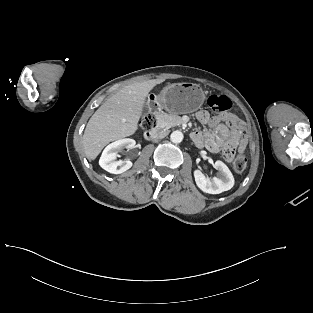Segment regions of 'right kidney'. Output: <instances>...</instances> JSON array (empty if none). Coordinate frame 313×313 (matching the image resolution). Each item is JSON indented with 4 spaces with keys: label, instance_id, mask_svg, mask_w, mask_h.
Here are the masks:
<instances>
[{
    "label": "right kidney",
    "instance_id": "obj_1",
    "mask_svg": "<svg viewBox=\"0 0 313 313\" xmlns=\"http://www.w3.org/2000/svg\"><path fill=\"white\" fill-rule=\"evenodd\" d=\"M135 144V140L130 138L120 139L109 144L102 152L99 165L112 174H121L127 171L132 167V162L117 160V153L124 148L132 149Z\"/></svg>",
    "mask_w": 313,
    "mask_h": 313
}]
</instances>
